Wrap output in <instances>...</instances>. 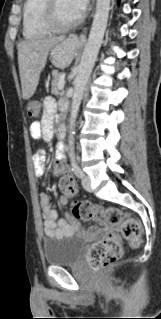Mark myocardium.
<instances>
[{"label":"myocardium","mask_w":161,"mask_h":319,"mask_svg":"<svg viewBox=\"0 0 161 319\" xmlns=\"http://www.w3.org/2000/svg\"><path fill=\"white\" fill-rule=\"evenodd\" d=\"M58 0H45L42 11V23L52 32L60 33L66 32L76 28L82 20V15L79 14L77 18L67 24H60L57 21L56 8Z\"/></svg>","instance_id":"obj_1"}]
</instances>
